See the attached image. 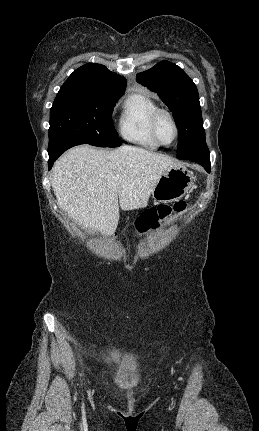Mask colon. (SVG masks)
I'll return each instance as SVG.
<instances>
[{
    "label": "colon",
    "instance_id": "5ec220e1",
    "mask_svg": "<svg viewBox=\"0 0 259 431\" xmlns=\"http://www.w3.org/2000/svg\"><path fill=\"white\" fill-rule=\"evenodd\" d=\"M186 207L184 201H178L173 206L159 204L141 214L135 223L134 236L139 237L156 230L161 223L168 220L172 213L182 212Z\"/></svg>",
    "mask_w": 259,
    "mask_h": 431
}]
</instances>
